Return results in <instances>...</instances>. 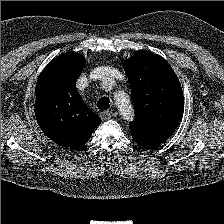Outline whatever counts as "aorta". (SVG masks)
I'll list each match as a JSON object with an SVG mask.
<instances>
[{"mask_svg": "<svg viewBox=\"0 0 224 224\" xmlns=\"http://www.w3.org/2000/svg\"><path fill=\"white\" fill-rule=\"evenodd\" d=\"M115 99H116L115 100L116 104L119 107L123 118L126 121L133 120L134 109H133V105L131 104L130 100H128V98H126V96L123 94H117L115 96Z\"/></svg>", "mask_w": 224, "mask_h": 224, "instance_id": "aorta-1", "label": "aorta"}]
</instances>
